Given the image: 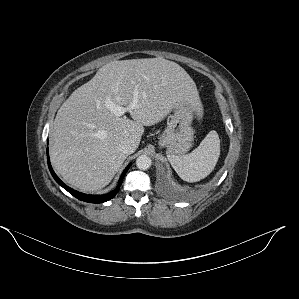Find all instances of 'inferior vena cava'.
Instances as JSON below:
<instances>
[{
    "instance_id": "obj_1",
    "label": "inferior vena cava",
    "mask_w": 299,
    "mask_h": 299,
    "mask_svg": "<svg viewBox=\"0 0 299 299\" xmlns=\"http://www.w3.org/2000/svg\"><path fill=\"white\" fill-rule=\"evenodd\" d=\"M119 147L123 153L129 155V154H132L136 150L137 146L132 139H125V140L121 141Z\"/></svg>"
}]
</instances>
